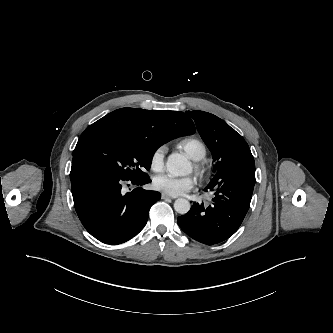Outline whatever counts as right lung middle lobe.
I'll use <instances>...</instances> for the list:
<instances>
[{"label": "right lung middle lobe", "instance_id": "right-lung-middle-lobe-1", "mask_svg": "<svg viewBox=\"0 0 333 333\" xmlns=\"http://www.w3.org/2000/svg\"><path fill=\"white\" fill-rule=\"evenodd\" d=\"M158 147L140 138L116 133L80 136L73 156L97 161L124 178L146 179L153 154Z\"/></svg>", "mask_w": 333, "mask_h": 333}]
</instances>
